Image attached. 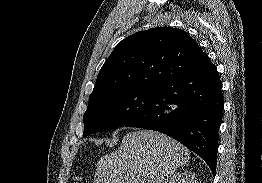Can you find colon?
Returning a JSON list of instances; mask_svg holds the SVG:
<instances>
[{
	"label": "colon",
	"instance_id": "colon-1",
	"mask_svg": "<svg viewBox=\"0 0 262 183\" xmlns=\"http://www.w3.org/2000/svg\"><path fill=\"white\" fill-rule=\"evenodd\" d=\"M73 183H88V180L83 176H79L73 180Z\"/></svg>",
	"mask_w": 262,
	"mask_h": 183
}]
</instances>
